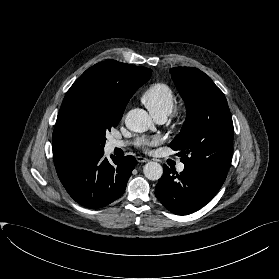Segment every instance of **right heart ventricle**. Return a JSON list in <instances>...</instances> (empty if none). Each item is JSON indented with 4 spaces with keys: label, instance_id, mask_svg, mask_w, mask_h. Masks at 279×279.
Wrapping results in <instances>:
<instances>
[{
    "label": "right heart ventricle",
    "instance_id": "e07e8e85",
    "mask_svg": "<svg viewBox=\"0 0 279 279\" xmlns=\"http://www.w3.org/2000/svg\"><path fill=\"white\" fill-rule=\"evenodd\" d=\"M141 100L154 117L167 116L174 107L175 95L168 84L156 82L144 91Z\"/></svg>",
    "mask_w": 279,
    "mask_h": 279
}]
</instances>
